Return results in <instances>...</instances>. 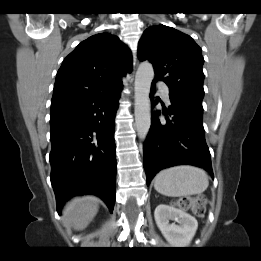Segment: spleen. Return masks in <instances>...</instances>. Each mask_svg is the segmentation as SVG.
Here are the masks:
<instances>
[{"mask_svg": "<svg viewBox=\"0 0 261 261\" xmlns=\"http://www.w3.org/2000/svg\"><path fill=\"white\" fill-rule=\"evenodd\" d=\"M209 185L207 173L194 166H175L160 171L154 180V188L169 197L201 194Z\"/></svg>", "mask_w": 261, "mask_h": 261, "instance_id": "1", "label": "spleen"}]
</instances>
